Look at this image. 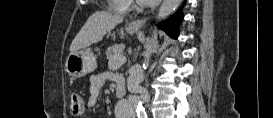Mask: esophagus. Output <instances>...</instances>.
Segmentation results:
<instances>
[{"instance_id": "obj_1", "label": "esophagus", "mask_w": 273, "mask_h": 118, "mask_svg": "<svg viewBox=\"0 0 273 118\" xmlns=\"http://www.w3.org/2000/svg\"><path fill=\"white\" fill-rule=\"evenodd\" d=\"M146 19H138L131 22L130 26L135 29H140L145 23Z\"/></svg>"}]
</instances>
